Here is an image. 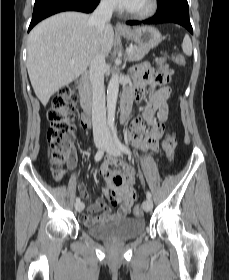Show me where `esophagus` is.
<instances>
[{"label":"esophagus","mask_w":229,"mask_h":280,"mask_svg":"<svg viewBox=\"0 0 229 280\" xmlns=\"http://www.w3.org/2000/svg\"><path fill=\"white\" fill-rule=\"evenodd\" d=\"M116 30L126 31L128 28L121 22L116 23Z\"/></svg>","instance_id":"34e87169"}]
</instances>
